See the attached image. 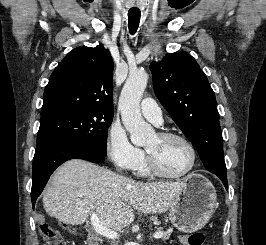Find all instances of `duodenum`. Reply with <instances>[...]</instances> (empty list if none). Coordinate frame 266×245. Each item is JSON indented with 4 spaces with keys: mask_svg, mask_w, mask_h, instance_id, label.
Returning <instances> with one entry per match:
<instances>
[{
    "mask_svg": "<svg viewBox=\"0 0 266 245\" xmlns=\"http://www.w3.org/2000/svg\"><path fill=\"white\" fill-rule=\"evenodd\" d=\"M88 245H100L99 239L96 235H91L89 237Z\"/></svg>",
    "mask_w": 266,
    "mask_h": 245,
    "instance_id": "1",
    "label": "duodenum"
}]
</instances>
